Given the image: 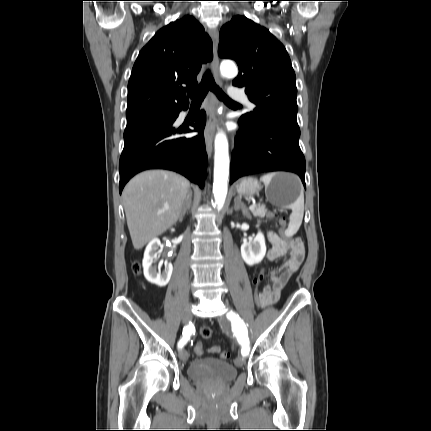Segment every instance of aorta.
Here are the masks:
<instances>
[{
    "label": "aorta",
    "mask_w": 431,
    "mask_h": 431,
    "mask_svg": "<svg viewBox=\"0 0 431 431\" xmlns=\"http://www.w3.org/2000/svg\"><path fill=\"white\" fill-rule=\"evenodd\" d=\"M220 73L223 77L232 78L237 75L238 70L233 62L224 61L220 65ZM229 164L228 141L225 134L220 132L215 138L213 182V194L218 211L223 208L227 196Z\"/></svg>",
    "instance_id": "aorta-1"
}]
</instances>
